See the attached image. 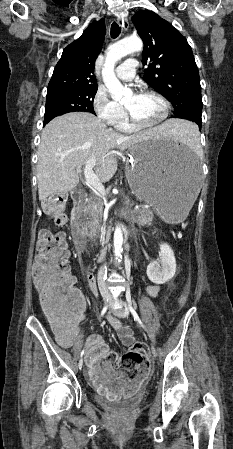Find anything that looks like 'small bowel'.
<instances>
[{"mask_svg": "<svg viewBox=\"0 0 233 449\" xmlns=\"http://www.w3.org/2000/svg\"><path fill=\"white\" fill-rule=\"evenodd\" d=\"M85 278L89 287L88 290L98 295L95 273L87 272ZM159 290L158 285L147 287V292L151 297H156ZM112 325L117 330L123 345L131 346L135 343L133 331L130 327L123 325L117 319L112 320ZM54 329L58 342L64 347H71L78 329L75 326L65 328L61 324H55ZM85 360L89 367V378L94 386L99 389V399H131L134 390L141 389V384H144L145 377H148L150 373L148 368H135L134 375H123L121 368H115L119 356L99 335H93L88 339Z\"/></svg>", "mask_w": 233, "mask_h": 449, "instance_id": "small-bowel-1", "label": "small bowel"}]
</instances>
